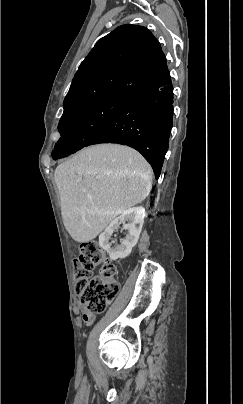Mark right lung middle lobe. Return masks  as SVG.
Here are the masks:
<instances>
[{
	"instance_id": "right-lung-middle-lobe-1",
	"label": "right lung middle lobe",
	"mask_w": 243,
	"mask_h": 404,
	"mask_svg": "<svg viewBox=\"0 0 243 404\" xmlns=\"http://www.w3.org/2000/svg\"><path fill=\"white\" fill-rule=\"evenodd\" d=\"M125 102L126 99L120 98L100 99L63 113L58 125L61 138L52 151V158L57 160L88 146Z\"/></svg>"
}]
</instances>
